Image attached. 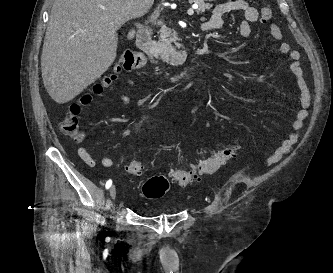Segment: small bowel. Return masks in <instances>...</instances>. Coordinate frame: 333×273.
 Masks as SVG:
<instances>
[{
	"label": "small bowel",
	"mask_w": 333,
	"mask_h": 273,
	"mask_svg": "<svg viewBox=\"0 0 333 273\" xmlns=\"http://www.w3.org/2000/svg\"><path fill=\"white\" fill-rule=\"evenodd\" d=\"M230 12H240L243 16V20L238 25V33L240 36L247 38L252 33V24L258 22L260 12L256 8L247 4L245 0H227L218 4L211 17L202 24V29L214 30L219 29L224 24L225 16ZM272 36L279 41V50L283 54H287L292 60L290 64V70L294 74L295 81L299 90V104L300 108L297 110L295 119L292 122L291 131L282 143L275 149L273 155L269 158L268 163L273 164L280 161L286 154L290 152L293 146L299 140V131L303 126V121L308 116V107L310 105V92L306 84V80L302 71L301 64L299 62L300 53L296 50H292L289 43L282 39L280 29L276 25H271ZM127 102V99H124ZM79 157L88 166L94 165V159L91 157L85 147L78 149ZM113 159L110 156H102L100 158V164L104 167H110L113 165ZM139 176V175H135Z\"/></svg>",
	"instance_id": "c3829d8e"
}]
</instances>
